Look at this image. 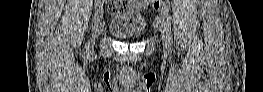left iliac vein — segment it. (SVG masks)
<instances>
[{
  "instance_id": "left-iliac-vein-1",
  "label": "left iliac vein",
  "mask_w": 263,
  "mask_h": 92,
  "mask_svg": "<svg viewBox=\"0 0 263 92\" xmlns=\"http://www.w3.org/2000/svg\"><path fill=\"white\" fill-rule=\"evenodd\" d=\"M161 25H162L161 36H162V41H163V47H164L165 51H169L171 49V46L169 44L168 32H167V29L165 27V22L163 20L161 21Z\"/></svg>"
}]
</instances>
